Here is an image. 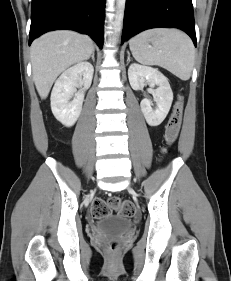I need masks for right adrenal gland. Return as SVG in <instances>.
<instances>
[{"mask_svg": "<svg viewBox=\"0 0 231 281\" xmlns=\"http://www.w3.org/2000/svg\"><path fill=\"white\" fill-rule=\"evenodd\" d=\"M91 58H92L93 62H95L94 51L91 54Z\"/></svg>", "mask_w": 231, "mask_h": 281, "instance_id": "right-adrenal-gland-1", "label": "right adrenal gland"}]
</instances>
